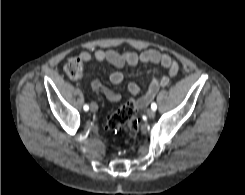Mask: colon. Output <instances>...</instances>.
I'll list each match as a JSON object with an SVG mask.
<instances>
[{
	"instance_id": "5ec220e1",
	"label": "colon",
	"mask_w": 245,
	"mask_h": 195,
	"mask_svg": "<svg viewBox=\"0 0 245 195\" xmlns=\"http://www.w3.org/2000/svg\"><path fill=\"white\" fill-rule=\"evenodd\" d=\"M64 70L69 78L78 80L82 78L84 69L78 58L69 60ZM140 110L137 106V101L132 99L121 106L116 112L110 115L106 121L105 126L110 131H117L122 128L129 132H134L138 128Z\"/></svg>"
}]
</instances>
